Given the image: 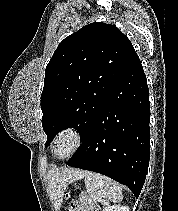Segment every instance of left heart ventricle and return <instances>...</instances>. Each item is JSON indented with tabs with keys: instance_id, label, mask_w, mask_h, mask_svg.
<instances>
[{
	"instance_id": "1",
	"label": "left heart ventricle",
	"mask_w": 178,
	"mask_h": 211,
	"mask_svg": "<svg viewBox=\"0 0 178 211\" xmlns=\"http://www.w3.org/2000/svg\"><path fill=\"white\" fill-rule=\"evenodd\" d=\"M72 145V139L69 136H63L56 144V151L58 154L66 153Z\"/></svg>"
}]
</instances>
